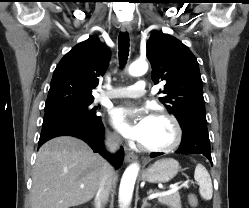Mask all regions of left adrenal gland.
<instances>
[{"instance_id": "left-adrenal-gland-1", "label": "left adrenal gland", "mask_w": 249, "mask_h": 208, "mask_svg": "<svg viewBox=\"0 0 249 208\" xmlns=\"http://www.w3.org/2000/svg\"><path fill=\"white\" fill-rule=\"evenodd\" d=\"M150 206H151V204L147 202L146 198H144L143 199V204H142L141 208L150 207Z\"/></svg>"}]
</instances>
